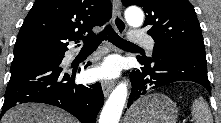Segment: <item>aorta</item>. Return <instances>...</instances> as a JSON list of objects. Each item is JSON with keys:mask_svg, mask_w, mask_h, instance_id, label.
Returning <instances> with one entry per match:
<instances>
[{"mask_svg": "<svg viewBox=\"0 0 221 123\" xmlns=\"http://www.w3.org/2000/svg\"><path fill=\"white\" fill-rule=\"evenodd\" d=\"M125 19L132 27L143 24L144 14L137 7H129L125 11ZM127 99V84L120 83L110 94L101 112L99 123H119Z\"/></svg>", "mask_w": 221, "mask_h": 123, "instance_id": "1", "label": "aorta"}]
</instances>
